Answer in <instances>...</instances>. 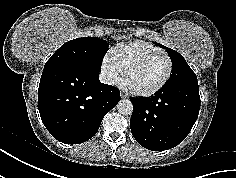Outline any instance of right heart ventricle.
<instances>
[{"instance_id": "1", "label": "right heart ventricle", "mask_w": 236, "mask_h": 178, "mask_svg": "<svg viewBox=\"0 0 236 178\" xmlns=\"http://www.w3.org/2000/svg\"><path fill=\"white\" fill-rule=\"evenodd\" d=\"M162 51L161 48L143 41L120 43L110 51V57L121 71L135 60L153 52Z\"/></svg>"}]
</instances>
